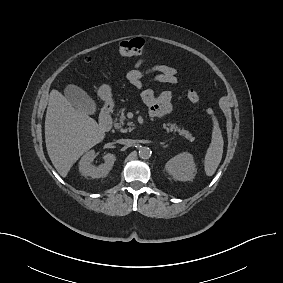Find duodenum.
I'll return each mask as SVG.
<instances>
[{
    "mask_svg": "<svg viewBox=\"0 0 283 283\" xmlns=\"http://www.w3.org/2000/svg\"><path fill=\"white\" fill-rule=\"evenodd\" d=\"M99 127L102 131H109L112 127V108L111 106H105L99 118Z\"/></svg>",
    "mask_w": 283,
    "mask_h": 283,
    "instance_id": "duodenum-1",
    "label": "duodenum"
}]
</instances>
